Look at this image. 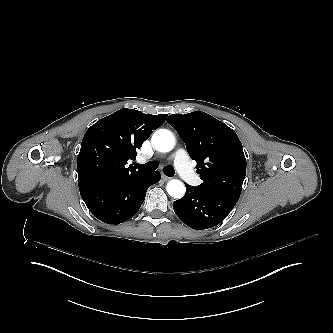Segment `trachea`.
Here are the masks:
<instances>
[{
    "label": "trachea",
    "mask_w": 333,
    "mask_h": 333,
    "mask_svg": "<svg viewBox=\"0 0 333 333\" xmlns=\"http://www.w3.org/2000/svg\"><path fill=\"white\" fill-rule=\"evenodd\" d=\"M134 167L136 169H139L141 171H154L158 168V164L156 162L150 161L146 164H138V163H134ZM163 172L166 176L168 177H172L175 175V170L171 165H168L166 167H164Z\"/></svg>",
    "instance_id": "1"
}]
</instances>
